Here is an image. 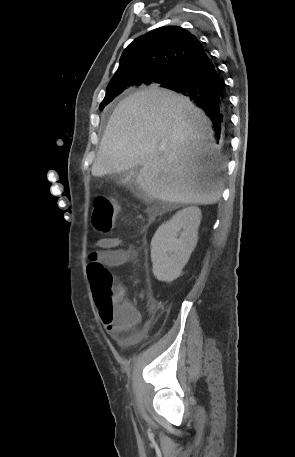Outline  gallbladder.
I'll use <instances>...</instances> for the list:
<instances>
[{"label": "gallbladder", "instance_id": "obj_1", "mask_svg": "<svg viewBox=\"0 0 295 457\" xmlns=\"http://www.w3.org/2000/svg\"><path fill=\"white\" fill-rule=\"evenodd\" d=\"M136 170H137V167H134V168L132 169V171H136ZM113 178H114V181H115L116 183H121L122 181L125 180L123 174H116V175L113 176ZM132 182H133V179H131L128 183L131 184Z\"/></svg>", "mask_w": 295, "mask_h": 457}]
</instances>
